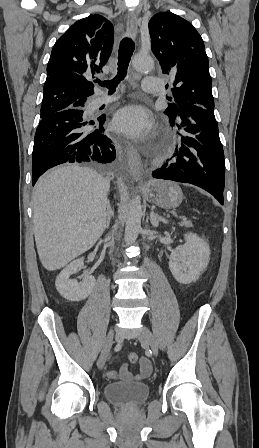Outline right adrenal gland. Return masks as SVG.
<instances>
[{
	"label": "right adrenal gland",
	"instance_id": "1",
	"mask_svg": "<svg viewBox=\"0 0 259 448\" xmlns=\"http://www.w3.org/2000/svg\"><path fill=\"white\" fill-rule=\"evenodd\" d=\"M111 218H114V212L110 206L109 200H107V222L105 228H109Z\"/></svg>",
	"mask_w": 259,
	"mask_h": 448
}]
</instances>
